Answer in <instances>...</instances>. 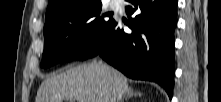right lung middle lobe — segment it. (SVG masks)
Segmentation results:
<instances>
[{
	"label": "right lung middle lobe",
	"mask_w": 221,
	"mask_h": 102,
	"mask_svg": "<svg viewBox=\"0 0 221 102\" xmlns=\"http://www.w3.org/2000/svg\"><path fill=\"white\" fill-rule=\"evenodd\" d=\"M101 0L65 8L45 21L41 67L75 60L92 46L114 21L101 14Z\"/></svg>",
	"instance_id": "dd1d6c3e"
}]
</instances>
